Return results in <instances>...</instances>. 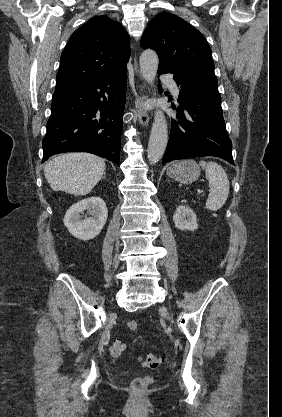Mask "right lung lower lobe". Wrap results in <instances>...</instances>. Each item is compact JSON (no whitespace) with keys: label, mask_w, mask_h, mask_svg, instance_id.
Listing matches in <instances>:
<instances>
[{"label":"right lung lower lobe","mask_w":282,"mask_h":417,"mask_svg":"<svg viewBox=\"0 0 282 417\" xmlns=\"http://www.w3.org/2000/svg\"><path fill=\"white\" fill-rule=\"evenodd\" d=\"M125 93L126 70L55 91L42 162L54 154L83 151L119 165Z\"/></svg>","instance_id":"1"}]
</instances>
